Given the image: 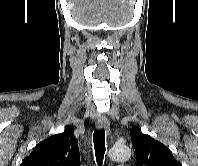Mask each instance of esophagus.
<instances>
[{
    "instance_id": "1",
    "label": "esophagus",
    "mask_w": 198,
    "mask_h": 166,
    "mask_svg": "<svg viewBox=\"0 0 198 166\" xmlns=\"http://www.w3.org/2000/svg\"><path fill=\"white\" fill-rule=\"evenodd\" d=\"M96 127L98 129H106L109 132L110 123L106 116H101L96 122Z\"/></svg>"
}]
</instances>
